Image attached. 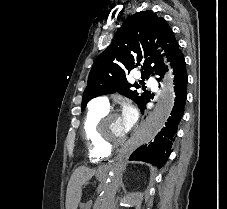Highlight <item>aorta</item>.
<instances>
[{"label":"aorta","mask_w":227,"mask_h":209,"mask_svg":"<svg viewBox=\"0 0 227 209\" xmlns=\"http://www.w3.org/2000/svg\"><path fill=\"white\" fill-rule=\"evenodd\" d=\"M164 63L166 65L169 64L166 58H164ZM174 100V75L170 69L165 75L162 91L156 106L138 132L135 142L123 149L117 160L112 164L109 177L101 195L100 209H113L119 181L126 161L135 147L148 143L165 126L174 106Z\"/></svg>","instance_id":"1"}]
</instances>
